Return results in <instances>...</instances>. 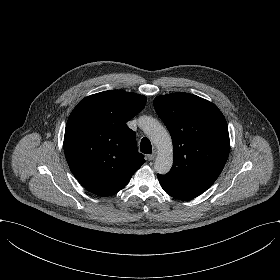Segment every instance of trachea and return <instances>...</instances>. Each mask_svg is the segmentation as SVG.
<instances>
[{
	"label": "trachea",
	"mask_w": 280,
	"mask_h": 280,
	"mask_svg": "<svg viewBox=\"0 0 280 280\" xmlns=\"http://www.w3.org/2000/svg\"><path fill=\"white\" fill-rule=\"evenodd\" d=\"M140 150L145 154H150L152 152V145L148 138L144 137L141 140Z\"/></svg>",
	"instance_id": "3493384b"
}]
</instances>
